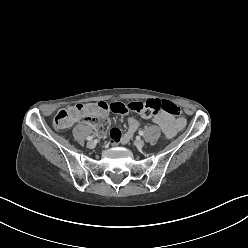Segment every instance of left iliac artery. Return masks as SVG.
I'll use <instances>...</instances> for the list:
<instances>
[{
	"label": "left iliac artery",
	"instance_id": "44dca946",
	"mask_svg": "<svg viewBox=\"0 0 248 248\" xmlns=\"http://www.w3.org/2000/svg\"><path fill=\"white\" fill-rule=\"evenodd\" d=\"M139 135L143 136L144 135V132L143 131H139Z\"/></svg>",
	"mask_w": 248,
	"mask_h": 248
}]
</instances>
